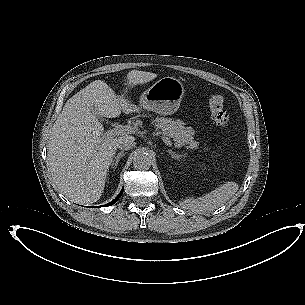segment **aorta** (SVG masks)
Returning <instances> with one entry per match:
<instances>
[{
    "label": "aorta",
    "instance_id": "obj_1",
    "mask_svg": "<svg viewBox=\"0 0 305 305\" xmlns=\"http://www.w3.org/2000/svg\"><path fill=\"white\" fill-rule=\"evenodd\" d=\"M152 163V155L150 151L140 150L133 158V166L138 170H147Z\"/></svg>",
    "mask_w": 305,
    "mask_h": 305
}]
</instances>
